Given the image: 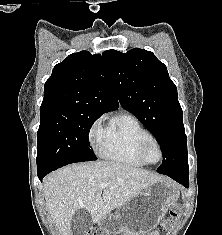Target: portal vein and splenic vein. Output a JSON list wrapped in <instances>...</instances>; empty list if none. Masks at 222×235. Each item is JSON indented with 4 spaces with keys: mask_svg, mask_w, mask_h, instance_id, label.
I'll return each instance as SVG.
<instances>
[{
    "mask_svg": "<svg viewBox=\"0 0 222 235\" xmlns=\"http://www.w3.org/2000/svg\"><path fill=\"white\" fill-rule=\"evenodd\" d=\"M106 187H108V184H107V183H101V184H100V188H106Z\"/></svg>",
    "mask_w": 222,
    "mask_h": 235,
    "instance_id": "portal-vein-and-splenic-vein-1",
    "label": "portal vein and splenic vein"
}]
</instances>
